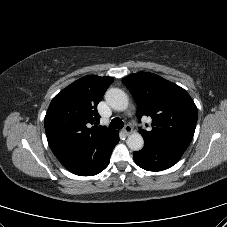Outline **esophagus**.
Masks as SVG:
<instances>
[{"mask_svg":"<svg viewBox=\"0 0 227 227\" xmlns=\"http://www.w3.org/2000/svg\"><path fill=\"white\" fill-rule=\"evenodd\" d=\"M123 131H124V133L126 135H129V134H131L133 132V129H132V127L130 125H125Z\"/></svg>","mask_w":227,"mask_h":227,"instance_id":"obj_1","label":"esophagus"}]
</instances>
